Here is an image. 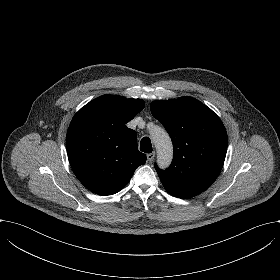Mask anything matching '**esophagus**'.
Masks as SVG:
<instances>
[{
  "label": "esophagus",
  "instance_id": "34e87169",
  "mask_svg": "<svg viewBox=\"0 0 280 280\" xmlns=\"http://www.w3.org/2000/svg\"><path fill=\"white\" fill-rule=\"evenodd\" d=\"M154 157H155V152L147 154V159L149 162L153 161Z\"/></svg>",
  "mask_w": 280,
  "mask_h": 280
}]
</instances>
